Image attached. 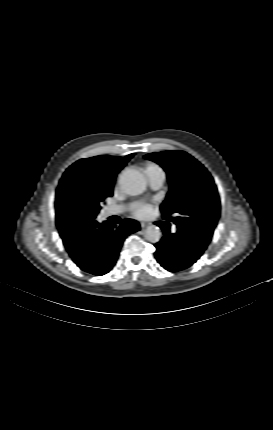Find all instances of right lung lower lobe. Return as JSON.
Instances as JSON below:
<instances>
[{"label": "right lung lower lobe", "mask_w": 273, "mask_h": 430, "mask_svg": "<svg viewBox=\"0 0 273 430\" xmlns=\"http://www.w3.org/2000/svg\"><path fill=\"white\" fill-rule=\"evenodd\" d=\"M139 229L138 222L132 219L123 220L117 228L107 222L94 221L81 233L80 242L67 250L81 270L101 276L115 265L125 238Z\"/></svg>", "instance_id": "right-lung-lower-lobe-1"}]
</instances>
